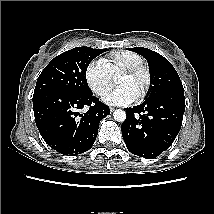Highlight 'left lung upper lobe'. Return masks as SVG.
<instances>
[{"mask_svg": "<svg viewBox=\"0 0 214 214\" xmlns=\"http://www.w3.org/2000/svg\"><path fill=\"white\" fill-rule=\"evenodd\" d=\"M142 55L150 69L152 91L147 99L170 92H184L182 82L172 64L159 53L143 47L129 48Z\"/></svg>", "mask_w": 214, "mask_h": 214, "instance_id": "5c2ea615", "label": "left lung upper lobe"}]
</instances>
